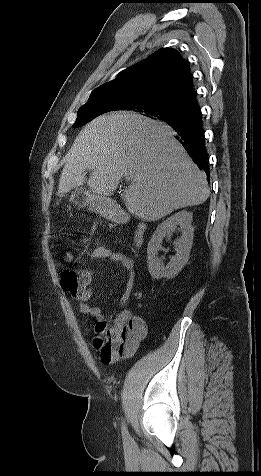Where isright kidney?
<instances>
[{"label": "right kidney", "instance_id": "obj_1", "mask_svg": "<svg viewBox=\"0 0 261 476\" xmlns=\"http://www.w3.org/2000/svg\"><path fill=\"white\" fill-rule=\"evenodd\" d=\"M192 213L180 211L167 218L156 228L147 247L148 270L152 278H174L187 263L193 243ZM177 226L182 235L174 242L176 255L165 266L157 257L163 238L170 237Z\"/></svg>", "mask_w": 261, "mask_h": 476}]
</instances>
